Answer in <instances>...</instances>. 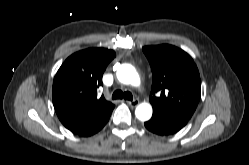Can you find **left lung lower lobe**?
Wrapping results in <instances>:
<instances>
[{
    "label": "left lung lower lobe",
    "instance_id": "left-lung-lower-lobe-1",
    "mask_svg": "<svg viewBox=\"0 0 249 165\" xmlns=\"http://www.w3.org/2000/svg\"><path fill=\"white\" fill-rule=\"evenodd\" d=\"M187 122L188 120L183 118L153 110L152 118L145 122L144 125L149 131L163 136L178 132Z\"/></svg>",
    "mask_w": 249,
    "mask_h": 165
}]
</instances>
